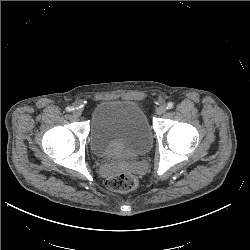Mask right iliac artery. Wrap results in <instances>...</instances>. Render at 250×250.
Returning a JSON list of instances; mask_svg holds the SVG:
<instances>
[{
	"label": "right iliac artery",
	"mask_w": 250,
	"mask_h": 250,
	"mask_svg": "<svg viewBox=\"0 0 250 250\" xmlns=\"http://www.w3.org/2000/svg\"><path fill=\"white\" fill-rule=\"evenodd\" d=\"M72 110H74V108L69 107V106H68V107H66V111H67V112H71Z\"/></svg>",
	"instance_id": "obj_1"
}]
</instances>
